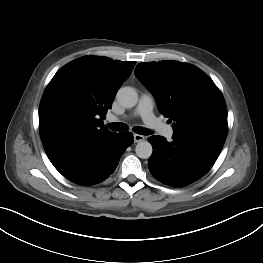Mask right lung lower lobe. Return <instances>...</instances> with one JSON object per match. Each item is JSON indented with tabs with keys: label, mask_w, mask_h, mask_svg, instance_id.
I'll return each instance as SVG.
<instances>
[{
	"label": "right lung lower lobe",
	"mask_w": 263,
	"mask_h": 263,
	"mask_svg": "<svg viewBox=\"0 0 263 263\" xmlns=\"http://www.w3.org/2000/svg\"><path fill=\"white\" fill-rule=\"evenodd\" d=\"M132 143V133L113 132L74 141L47 156L64 177L76 184L89 186L107 179Z\"/></svg>",
	"instance_id": "right-lung-lower-lobe-1"
}]
</instances>
